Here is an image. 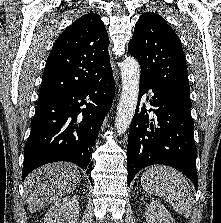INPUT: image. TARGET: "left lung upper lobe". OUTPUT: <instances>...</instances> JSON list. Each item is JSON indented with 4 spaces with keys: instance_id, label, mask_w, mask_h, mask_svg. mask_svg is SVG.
<instances>
[{
    "instance_id": "1",
    "label": "left lung upper lobe",
    "mask_w": 221,
    "mask_h": 223,
    "mask_svg": "<svg viewBox=\"0 0 221 223\" xmlns=\"http://www.w3.org/2000/svg\"><path fill=\"white\" fill-rule=\"evenodd\" d=\"M128 51L141 67V79L190 96L179 37L160 15L147 12L136 22Z\"/></svg>"
}]
</instances>
